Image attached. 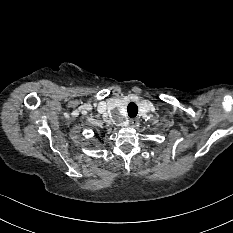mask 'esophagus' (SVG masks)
Listing matches in <instances>:
<instances>
[{
  "label": "esophagus",
  "mask_w": 233,
  "mask_h": 233,
  "mask_svg": "<svg viewBox=\"0 0 233 233\" xmlns=\"http://www.w3.org/2000/svg\"><path fill=\"white\" fill-rule=\"evenodd\" d=\"M137 123V120L136 119H130V125L131 126H134L135 124Z\"/></svg>",
  "instance_id": "esophagus-1"
}]
</instances>
